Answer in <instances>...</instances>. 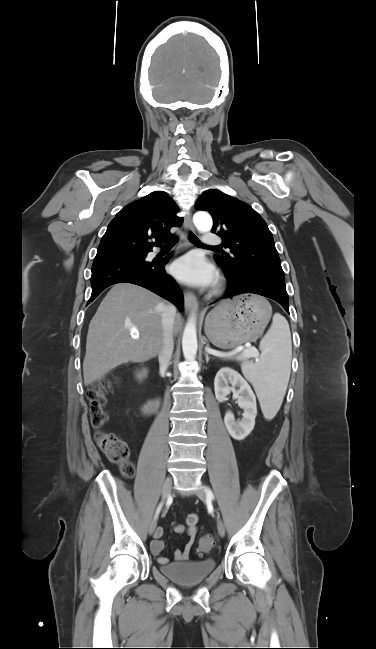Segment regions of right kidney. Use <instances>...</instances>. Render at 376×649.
Here are the masks:
<instances>
[{
	"instance_id": "1",
	"label": "right kidney",
	"mask_w": 376,
	"mask_h": 649,
	"mask_svg": "<svg viewBox=\"0 0 376 649\" xmlns=\"http://www.w3.org/2000/svg\"><path fill=\"white\" fill-rule=\"evenodd\" d=\"M146 373H147L146 370H143L142 372L137 374V377L138 378H143L146 375Z\"/></svg>"
}]
</instances>
